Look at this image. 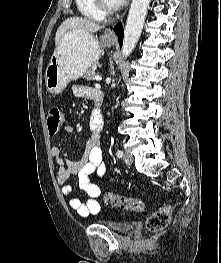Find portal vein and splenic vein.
<instances>
[{"label": "portal vein and splenic vein", "mask_w": 221, "mask_h": 263, "mask_svg": "<svg viewBox=\"0 0 221 263\" xmlns=\"http://www.w3.org/2000/svg\"><path fill=\"white\" fill-rule=\"evenodd\" d=\"M94 79L97 80V81H101V80H102V77L99 76V75H95Z\"/></svg>", "instance_id": "obj_1"}]
</instances>
